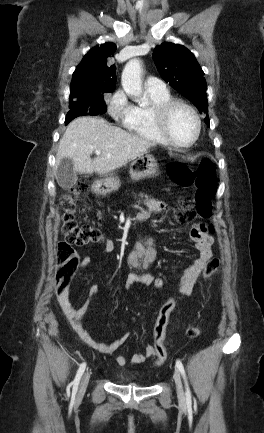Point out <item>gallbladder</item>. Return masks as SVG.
Masks as SVG:
<instances>
[{"instance_id":"1","label":"gallbladder","mask_w":264,"mask_h":433,"mask_svg":"<svg viewBox=\"0 0 264 433\" xmlns=\"http://www.w3.org/2000/svg\"><path fill=\"white\" fill-rule=\"evenodd\" d=\"M56 179L63 189L72 188L77 181V172L74 170L73 162L69 158H63L56 170Z\"/></svg>"}]
</instances>
